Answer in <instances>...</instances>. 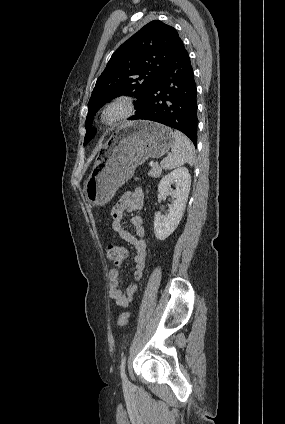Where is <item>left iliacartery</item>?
Here are the masks:
<instances>
[{
	"instance_id": "obj_1",
	"label": "left iliac artery",
	"mask_w": 285,
	"mask_h": 424,
	"mask_svg": "<svg viewBox=\"0 0 285 424\" xmlns=\"http://www.w3.org/2000/svg\"><path fill=\"white\" fill-rule=\"evenodd\" d=\"M125 364H126V357H124L122 359L121 366H120V374H121L122 380L125 383H127V377H126V373H125Z\"/></svg>"
}]
</instances>
